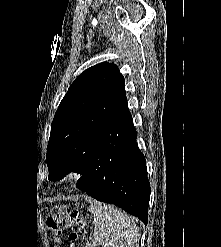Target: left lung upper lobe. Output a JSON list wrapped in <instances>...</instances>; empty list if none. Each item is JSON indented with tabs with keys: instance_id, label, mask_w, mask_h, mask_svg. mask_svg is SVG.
I'll use <instances>...</instances> for the list:
<instances>
[{
	"instance_id": "1",
	"label": "left lung upper lobe",
	"mask_w": 221,
	"mask_h": 247,
	"mask_svg": "<svg viewBox=\"0 0 221 247\" xmlns=\"http://www.w3.org/2000/svg\"><path fill=\"white\" fill-rule=\"evenodd\" d=\"M124 82L116 65L100 63L71 84L51 125L46 155L49 180L82 172L106 129L130 115Z\"/></svg>"
}]
</instances>
